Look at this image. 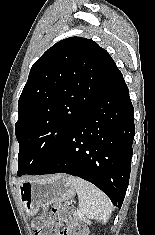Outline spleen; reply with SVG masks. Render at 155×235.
Instances as JSON below:
<instances>
[{"label":"spleen","mask_w":155,"mask_h":235,"mask_svg":"<svg viewBox=\"0 0 155 235\" xmlns=\"http://www.w3.org/2000/svg\"><path fill=\"white\" fill-rule=\"evenodd\" d=\"M79 198L80 213L92 220L106 223L111 216V203L108 197L93 184L74 176L68 177Z\"/></svg>","instance_id":"3e777b00"}]
</instances>
